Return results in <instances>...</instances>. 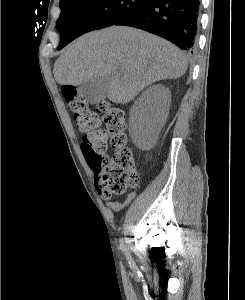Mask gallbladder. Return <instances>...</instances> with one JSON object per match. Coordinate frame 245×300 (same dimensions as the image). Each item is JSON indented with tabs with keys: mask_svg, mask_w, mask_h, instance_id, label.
I'll return each instance as SVG.
<instances>
[{
	"mask_svg": "<svg viewBox=\"0 0 245 300\" xmlns=\"http://www.w3.org/2000/svg\"><path fill=\"white\" fill-rule=\"evenodd\" d=\"M110 86L109 76H100L80 85V93L90 104H96L104 100Z\"/></svg>",
	"mask_w": 245,
	"mask_h": 300,
	"instance_id": "bac80fb5",
	"label": "gallbladder"
}]
</instances>
